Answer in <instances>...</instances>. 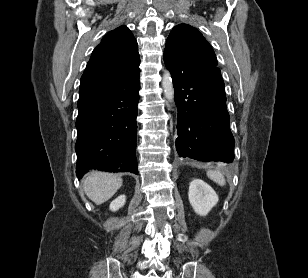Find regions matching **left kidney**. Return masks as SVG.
<instances>
[{
  "label": "left kidney",
  "instance_id": "left-kidney-1",
  "mask_svg": "<svg viewBox=\"0 0 308 278\" xmlns=\"http://www.w3.org/2000/svg\"><path fill=\"white\" fill-rule=\"evenodd\" d=\"M188 197L195 213L200 216H206L219 200L212 187L201 179L190 183Z\"/></svg>",
  "mask_w": 308,
  "mask_h": 278
}]
</instances>
